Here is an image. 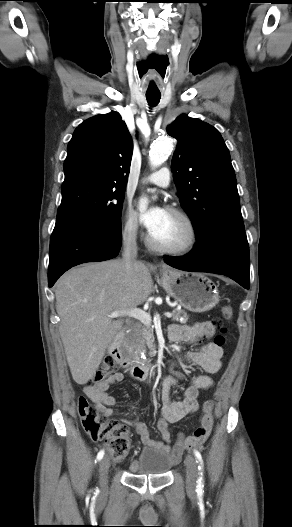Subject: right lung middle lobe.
<instances>
[{
	"label": "right lung middle lobe",
	"instance_id": "dd1d6c3e",
	"mask_svg": "<svg viewBox=\"0 0 292 527\" xmlns=\"http://www.w3.org/2000/svg\"><path fill=\"white\" fill-rule=\"evenodd\" d=\"M125 188L86 180L62 184V201L57 218L72 216L90 219L121 231V214Z\"/></svg>",
	"mask_w": 292,
	"mask_h": 527
}]
</instances>
